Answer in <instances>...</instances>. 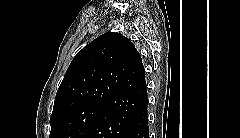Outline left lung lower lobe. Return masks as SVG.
Masks as SVG:
<instances>
[{"mask_svg":"<svg viewBox=\"0 0 240 138\" xmlns=\"http://www.w3.org/2000/svg\"><path fill=\"white\" fill-rule=\"evenodd\" d=\"M147 103L145 69L139 54L87 138H148Z\"/></svg>","mask_w":240,"mask_h":138,"instance_id":"0a47b994","label":"left lung lower lobe"}]
</instances>
